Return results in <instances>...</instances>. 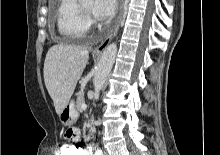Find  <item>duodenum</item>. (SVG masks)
Listing matches in <instances>:
<instances>
[{
  "instance_id": "obj_1",
  "label": "duodenum",
  "mask_w": 220,
  "mask_h": 155,
  "mask_svg": "<svg viewBox=\"0 0 220 155\" xmlns=\"http://www.w3.org/2000/svg\"><path fill=\"white\" fill-rule=\"evenodd\" d=\"M94 133H95V129L93 127H91L89 129V137L92 138L94 136Z\"/></svg>"
}]
</instances>
